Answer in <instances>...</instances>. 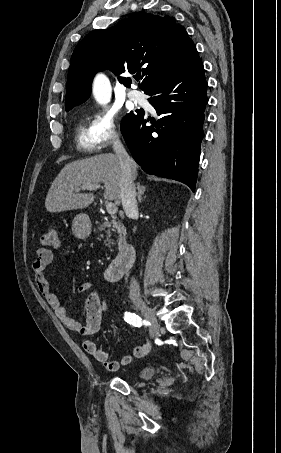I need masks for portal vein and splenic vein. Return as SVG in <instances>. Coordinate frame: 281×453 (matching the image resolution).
Masks as SVG:
<instances>
[{
  "mask_svg": "<svg viewBox=\"0 0 281 453\" xmlns=\"http://www.w3.org/2000/svg\"><path fill=\"white\" fill-rule=\"evenodd\" d=\"M81 188H84V190H97V188H100L99 184H85V186H80V188H77V190H81ZM107 212L109 214H116L118 208L115 206L114 202H107L106 204Z\"/></svg>",
  "mask_w": 281,
  "mask_h": 453,
  "instance_id": "portal-vein-and-splenic-vein-1",
  "label": "portal vein and splenic vein"
}]
</instances>
